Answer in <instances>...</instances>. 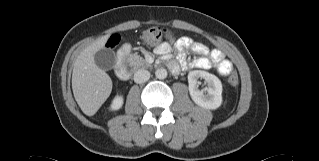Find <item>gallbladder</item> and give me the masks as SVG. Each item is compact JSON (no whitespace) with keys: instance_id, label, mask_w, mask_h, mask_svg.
Here are the masks:
<instances>
[{"instance_id":"obj_1","label":"gallbladder","mask_w":319,"mask_h":161,"mask_svg":"<svg viewBox=\"0 0 319 161\" xmlns=\"http://www.w3.org/2000/svg\"><path fill=\"white\" fill-rule=\"evenodd\" d=\"M96 65L102 70H110L116 64V55L113 50L103 48L94 55Z\"/></svg>"}]
</instances>
